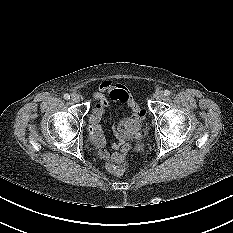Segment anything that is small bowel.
Instances as JSON below:
<instances>
[{"label": "small bowel", "instance_id": "c3829d8e", "mask_svg": "<svg viewBox=\"0 0 233 233\" xmlns=\"http://www.w3.org/2000/svg\"><path fill=\"white\" fill-rule=\"evenodd\" d=\"M108 96H107V95ZM93 100L95 101V107L89 122L91 131L96 143L99 146V155L103 160L108 162L120 163L124 160L128 152L130 151V145L126 143L127 126L119 125L117 130L118 142L113 143L112 147L117 150L114 154H109L106 149V140L101 128V120L105 113L106 108L110 102H120L128 106L133 115L130 117L131 123H140L144 118V111L134 101L129 92L121 85L116 84L112 80H104L99 85V90L94 93Z\"/></svg>", "mask_w": 233, "mask_h": 233}]
</instances>
